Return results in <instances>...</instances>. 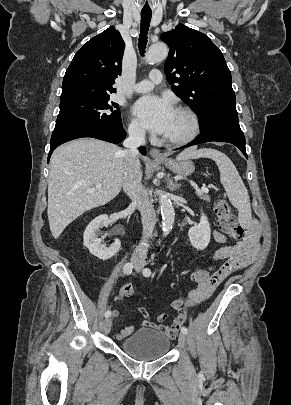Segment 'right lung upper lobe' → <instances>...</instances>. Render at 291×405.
<instances>
[{
	"mask_svg": "<svg viewBox=\"0 0 291 405\" xmlns=\"http://www.w3.org/2000/svg\"><path fill=\"white\" fill-rule=\"evenodd\" d=\"M125 43L114 27L90 39L66 70L60 101L108 96L121 75Z\"/></svg>",
	"mask_w": 291,
	"mask_h": 405,
	"instance_id": "cb5924a9",
	"label": "right lung upper lobe"
}]
</instances>
